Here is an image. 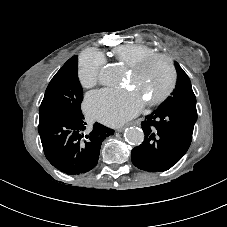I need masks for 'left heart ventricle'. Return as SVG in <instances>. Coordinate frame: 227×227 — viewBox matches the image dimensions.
<instances>
[{"mask_svg": "<svg viewBox=\"0 0 227 227\" xmlns=\"http://www.w3.org/2000/svg\"><path fill=\"white\" fill-rule=\"evenodd\" d=\"M127 82L135 87L143 99L152 100L168 87L170 71L165 61L155 60L141 73L131 72Z\"/></svg>", "mask_w": 227, "mask_h": 227, "instance_id": "obj_1", "label": "left heart ventricle"}]
</instances>
